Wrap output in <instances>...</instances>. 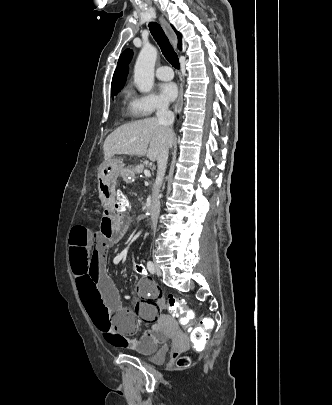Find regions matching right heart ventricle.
I'll use <instances>...</instances> for the list:
<instances>
[{
  "instance_id": "e07e8e85",
  "label": "right heart ventricle",
  "mask_w": 332,
  "mask_h": 405,
  "mask_svg": "<svg viewBox=\"0 0 332 405\" xmlns=\"http://www.w3.org/2000/svg\"><path fill=\"white\" fill-rule=\"evenodd\" d=\"M134 97L132 96L130 90H126L124 94L123 104H124V114L129 119H134L138 116L135 111L133 104Z\"/></svg>"
}]
</instances>
